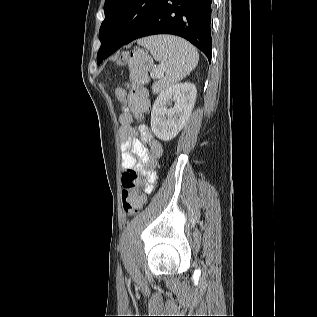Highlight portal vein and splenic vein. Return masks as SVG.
Listing matches in <instances>:
<instances>
[{
    "label": "portal vein and splenic vein",
    "instance_id": "1",
    "mask_svg": "<svg viewBox=\"0 0 317 317\" xmlns=\"http://www.w3.org/2000/svg\"><path fill=\"white\" fill-rule=\"evenodd\" d=\"M154 76L156 78H161L163 76V74L160 71H155Z\"/></svg>",
    "mask_w": 317,
    "mask_h": 317
}]
</instances>
